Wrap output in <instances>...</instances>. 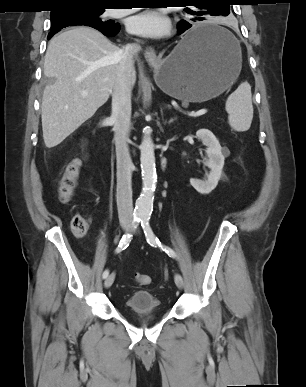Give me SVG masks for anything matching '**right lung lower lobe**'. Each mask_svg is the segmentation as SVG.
Instances as JSON below:
<instances>
[{
	"instance_id": "1",
	"label": "right lung lower lobe",
	"mask_w": 306,
	"mask_h": 387,
	"mask_svg": "<svg viewBox=\"0 0 306 387\" xmlns=\"http://www.w3.org/2000/svg\"><path fill=\"white\" fill-rule=\"evenodd\" d=\"M99 31H101L105 36H108V37H112V36H115L116 34H118L119 30H120V25L118 24L117 26L115 27H101V28H97ZM51 34H56L54 32H51ZM53 35H50L48 36V39H50Z\"/></svg>"
}]
</instances>
